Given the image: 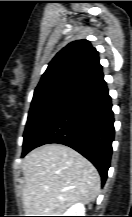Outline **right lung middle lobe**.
Listing matches in <instances>:
<instances>
[{
  "instance_id": "dd1d6c3e",
  "label": "right lung middle lobe",
  "mask_w": 132,
  "mask_h": 217,
  "mask_svg": "<svg viewBox=\"0 0 132 217\" xmlns=\"http://www.w3.org/2000/svg\"><path fill=\"white\" fill-rule=\"evenodd\" d=\"M78 96L66 91L34 95L24 132L22 156L57 115Z\"/></svg>"
}]
</instances>
